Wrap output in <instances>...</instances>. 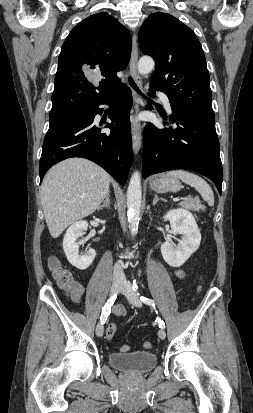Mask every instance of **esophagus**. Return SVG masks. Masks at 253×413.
Segmentation results:
<instances>
[{
    "mask_svg": "<svg viewBox=\"0 0 253 413\" xmlns=\"http://www.w3.org/2000/svg\"><path fill=\"white\" fill-rule=\"evenodd\" d=\"M137 62H138V42L136 34L132 36V52H131V59H130V73L133 77L134 81L137 83L139 87H141V78L137 71ZM134 95V102H135V112L139 111L140 105L142 104L141 98L138 94L133 91ZM142 144V129L140 124L135 123L132 127V145L134 154H138Z\"/></svg>",
    "mask_w": 253,
    "mask_h": 413,
    "instance_id": "1",
    "label": "esophagus"
}]
</instances>
